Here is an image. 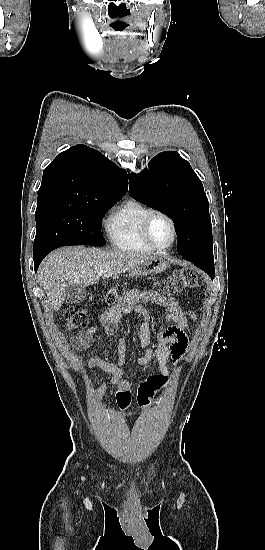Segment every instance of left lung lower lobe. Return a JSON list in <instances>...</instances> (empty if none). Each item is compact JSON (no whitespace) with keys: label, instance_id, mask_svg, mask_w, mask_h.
<instances>
[{"label":"left lung lower lobe","instance_id":"obj_1","mask_svg":"<svg viewBox=\"0 0 265 550\" xmlns=\"http://www.w3.org/2000/svg\"><path fill=\"white\" fill-rule=\"evenodd\" d=\"M186 260L192 262L195 266L205 271L210 276L211 279H214L215 269H214L213 253L201 252L196 255L187 257Z\"/></svg>","mask_w":265,"mask_h":550}]
</instances>
